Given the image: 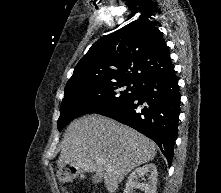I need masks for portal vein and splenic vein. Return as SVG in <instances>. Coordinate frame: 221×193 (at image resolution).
I'll list each match as a JSON object with an SVG mask.
<instances>
[{"mask_svg": "<svg viewBox=\"0 0 221 193\" xmlns=\"http://www.w3.org/2000/svg\"><path fill=\"white\" fill-rule=\"evenodd\" d=\"M99 163L103 164L104 160H98ZM107 170L112 171V167L111 166H107Z\"/></svg>", "mask_w": 221, "mask_h": 193, "instance_id": "obj_1", "label": "portal vein and splenic vein"}]
</instances>
